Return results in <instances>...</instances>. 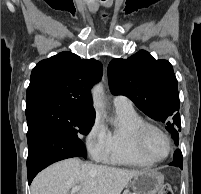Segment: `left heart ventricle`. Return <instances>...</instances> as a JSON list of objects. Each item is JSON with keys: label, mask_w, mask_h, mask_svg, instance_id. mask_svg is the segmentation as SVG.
Listing matches in <instances>:
<instances>
[{"label": "left heart ventricle", "mask_w": 201, "mask_h": 194, "mask_svg": "<svg viewBox=\"0 0 201 194\" xmlns=\"http://www.w3.org/2000/svg\"><path fill=\"white\" fill-rule=\"evenodd\" d=\"M144 145L148 154L154 158H162L168 151V144L164 136L153 129L147 131Z\"/></svg>", "instance_id": "b2bd125f"}]
</instances>
